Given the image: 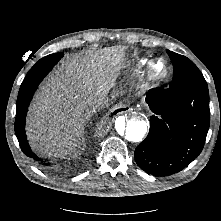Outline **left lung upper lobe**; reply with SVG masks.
I'll return each mask as SVG.
<instances>
[{
  "instance_id": "5c2ea615",
  "label": "left lung upper lobe",
  "mask_w": 221,
  "mask_h": 221,
  "mask_svg": "<svg viewBox=\"0 0 221 221\" xmlns=\"http://www.w3.org/2000/svg\"><path fill=\"white\" fill-rule=\"evenodd\" d=\"M167 53L174 67L170 88H175L186 83L205 81L202 73L190 59L169 50H167Z\"/></svg>"
}]
</instances>
